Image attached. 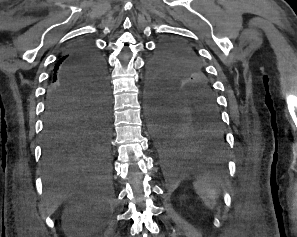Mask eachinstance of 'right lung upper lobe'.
<instances>
[{"instance_id":"cb5924a9","label":"right lung upper lobe","mask_w":297,"mask_h":237,"mask_svg":"<svg viewBox=\"0 0 297 237\" xmlns=\"http://www.w3.org/2000/svg\"><path fill=\"white\" fill-rule=\"evenodd\" d=\"M65 56H63L59 62L57 63V65L55 66L54 68V73H53V76H52V82L51 83H55L59 80V77H60V71H61V67L63 65V62L65 61Z\"/></svg>"}]
</instances>
